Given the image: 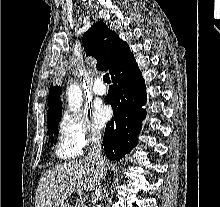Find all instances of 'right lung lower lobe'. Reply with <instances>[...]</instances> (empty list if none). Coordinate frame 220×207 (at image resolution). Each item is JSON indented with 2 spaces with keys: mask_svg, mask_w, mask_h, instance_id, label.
I'll return each instance as SVG.
<instances>
[{
  "mask_svg": "<svg viewBox=\"0 0 220 207\" xmlns=\"http://www.w3.org/2000/svg\"><path fill=\"white\" fill-rule=\"evenodd\" d=\"M113 85L106 100L111 104L114 118L107 123L103 137L105 154L119 160L137 145L146 111L145 83L133 54L124 56L111 73Z\"/></svg>",
  "mask_w": 220,
  "mask_h": 207,
  "instance_id": "right-lung-lower-lobe-1",
  "label": "right lung lower lobe"
}]
</instances>
